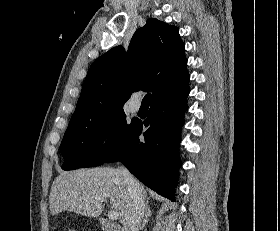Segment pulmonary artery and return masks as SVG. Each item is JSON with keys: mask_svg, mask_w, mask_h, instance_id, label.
<instances>
[{"mask_svg": "<svg viewBox=\"0 0 280 231\" xmlns=\"http://www.w3.org/2000/svg\"><path fill=\"white\" fill-rule=\"evenodd\" d=\"M130 108H131L132 112H138L139 109H140V104L131 100L130 101Z\"/></svg>", "mask_w": 280, "mask_h": 231, "instance_id": "obj_1", "label": "pulmonary artery"}]
</instances>
